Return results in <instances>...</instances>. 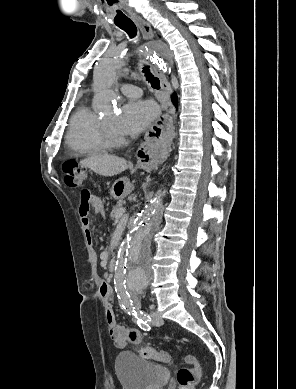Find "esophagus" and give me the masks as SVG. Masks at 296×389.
Here are the masks:
<instances>
[{
	"label": "esophagus",
	"mask_w": 296,
	"mask_h": 389,
	"mask_svg": "<svg viewBox=\"0 0 296 389\" xmlns=\"http://www.w3.org/2000/svg\"><path fill=\"white\" fill-rule=\"evenodd\" d=\"M135 23L140 28L145 40H151L154 37L152 28L148 22L142 18H136ZM161 84V89L170 95L172 90L166 76L154 67ZM174 141L172 116L168 112L160 114L154 122V126H149L146 133V139L141 143L137 155V167L139 169H156L158 163H162L163 158L169 154V144Z\"/></svg>",
	"instance_id": "1"
}]
</instances>
